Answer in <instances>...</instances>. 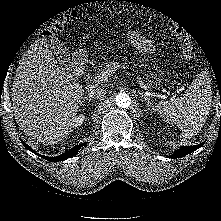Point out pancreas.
<instances>
[{
    "label": "pancreas",
    "instance_id": "1",
    "mask_svg": "<svg viewBox=\"0 0 221 221\" xmlns=\"http://www.w3.org/2000/svg\"><path fill=\"white\" fill-rule=\"evenodd\" d=\"M111 68H116L114 62L108 63L103 70L111 69ZM109 77H110V76H109ZM109 77H108V78H109ZM160 80H161V78H158V77H156V76H151V77L147 76V77L145 78V81H149V82H151V83L154 82V81H160ZM147 86H148V85H147Z\"/></svg>",
    "mask_w": 221,
    "mask_h": 221
}]
</instances>
